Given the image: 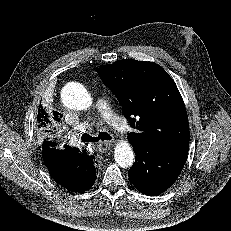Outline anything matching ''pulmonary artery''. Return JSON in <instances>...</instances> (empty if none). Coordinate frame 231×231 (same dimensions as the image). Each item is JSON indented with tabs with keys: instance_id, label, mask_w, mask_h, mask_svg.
Segmentation results:
<instances>
[{
	"instance_id": "e3ab8cb5",
	"label": "pulmonary artery",
	"mask_w": 231,
	"mask_h": 231,
	"mask_svg": "<svg viewBox=\"0 0 231 231\" xmlns=\"http://www.w3.org/2000/svg\"><path fill=\"white\" fill-rule=\"evenodd\" d=\"M95 108L104 119L119 131H123L125 122L112 110L109 103L104 98H97Z\"/></svg>"
}]
</instances>
